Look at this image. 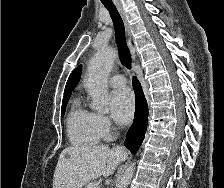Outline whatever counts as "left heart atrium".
Wrapping results in <instances>:
<instances>
[{
	"label": "left heart atrium",
	"instance_id": "obj_1",
	"mask_svg": "<svg viewBox=\"0 0 224 188\" xmlns=\"http://www.w3.org/2000/svg\"><path fill=\"white\" fill-rule=\"evenodd\" d=\"M112 117L121 125L131 122L134 114V98L129 89L115 90L110 96Z\"/></svg>",
	"mask_w": 224,
	"mask_h": 188
}]
</instances>
